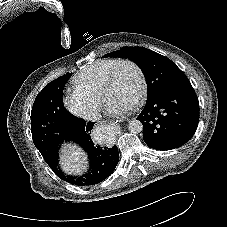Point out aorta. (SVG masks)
Returning a JSON list of instances; mask_svg holds the SVG:
<instances>
[{"instance_id":"762f6f07","label":"aorta","mask_w":227,"mask_h":227,"mask_svg":"<svg viewBox=\"0 0 227 227\" xmlns=\"http://www.w3.org/2000/svg\"><path fill=\"white\" fill-rule=\"evenodd\" d=\"M128 130L133 134H138L143 130V124L139 120L133 119L128 123Z\"/></svg>"}]
</instances>
